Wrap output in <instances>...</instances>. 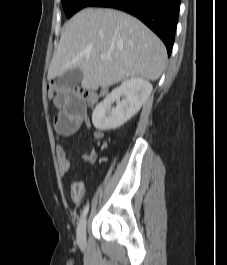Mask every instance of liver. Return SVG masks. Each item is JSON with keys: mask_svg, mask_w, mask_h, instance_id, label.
<instances>
[{"mask_svg": "<svg viewBox=\"0 0 227 265\" xmlns=\"http://www.w3.org/2000/svg\"><path fill=\"white\" fill-rule=\"evenodd\" d=\"M109 53L108 59H100ZM167 58L163 42L141 21L113 9H84L64 26L47 79L79 68L81 86L97 90L129 77L157 80Z\"/></svg>", "mask_w": 227, "mask_h": 265, "instance_id": "1", "label": "liver"}]
</instances>
